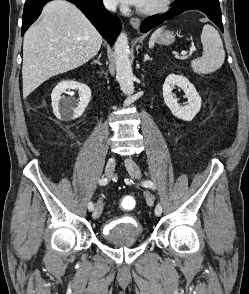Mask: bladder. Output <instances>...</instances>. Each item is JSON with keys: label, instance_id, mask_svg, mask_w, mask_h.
I'll return each mask as SVG.
<instances>
[{"label": "bladder", "instance_id": "bladder-1", "mask_svg": "<svg viewBox=\"0 0 249 294\" xmlns=\"http://www.w3.org/2000/svg\"><path fill=\"white\" fill-rule=\"evenodd\" d=\"M143 233L142 223L134 216H120L108 219L104 225L102 237L105 241L117 238L140 240Z\"/></svg>", "mask_w": 249, "mask_h": 294}]
</instances>
